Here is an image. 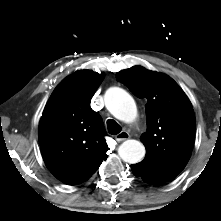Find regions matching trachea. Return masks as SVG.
<instances>
[{
	"instance_id": "3493384b",
	"label": "trachea",
	"mask_w": 221,
	"mask_h": 221,
	"mask_svg": "<svg viewBox=\"0 0 221 221\" xmlns=\"http://www.w3.org/2000/svg\"><path fill=\"white\" fill-rule=\"evenodd\" d=\"M107 128H108V133L111 135H116L120 133L122 130L121 126L113 119L107 120Z\"/></svg>"
}]
</instances>
